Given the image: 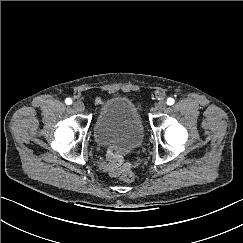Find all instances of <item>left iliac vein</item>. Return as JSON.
<instances>
[{"label": "left iliac vein", "instance_id": "left-iliac-vein-1", "mask_svg": "<svg viewBox=\"0 0 243 243\" xmlns=\"http://www.w3.org/2000/svg\"><path fill=\"white\" fill-rule=\"evenodd\" d=\"M166 106V102L164 100H161L156 104L155 109L160 112L165 110Z\"/></svg>", "mask_w": 243, "mask_h": 243}]
</instances>
